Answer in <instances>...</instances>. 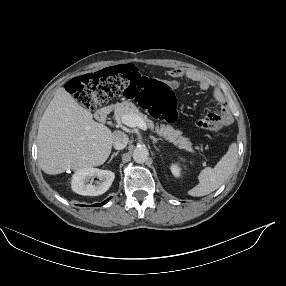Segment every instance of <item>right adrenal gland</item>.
<instances>
[{"mask_svg": "<svg viewBox=\"0 0 286 286\" xmlns=\"http://www.w3.org/2000/svg\"><path fill=\"white\" fill-rule=\"evenodd\" d=\"M118 153H119V151H117V152L113 153V154L111 155V157H110V159H109V162H108V163H110V162L112 161V159L118 155Z\"/></svg>", "mask_w": 286, "mask_h": 286, "instance_id": "right-adrenal-gland-1", "label": "right adrenal gland"}]
</instances>
